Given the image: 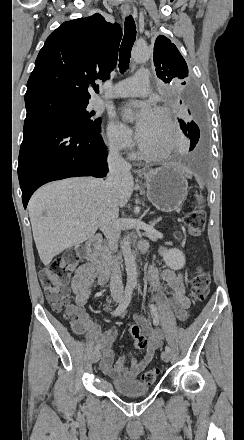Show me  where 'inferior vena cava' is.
<instances>
[{
	"instance_id": "602c4592",
	"label": "inferior vena cava",
	"mask_w": 244,
	"mask_h": 440,
	"mask_svg": "<svg viewBox=\"0 0 244 440\" xmlns=\"http://www.w3.org/2000/svg\"><path fill=\"white\" fill-rule=\"evenodd\" d=\"M109 174L103 184L105 188L104 206L99 212L98 226L109 242L112 252H117L120 238V226L117 222L119 216L118 202L114 196L122 178L131 170L130 164L119 156L117 150H110L108 156ZM113 270L110 278L111 296H123L122 274L116 256H113Z\"/></svg>"
}]
</instances>
